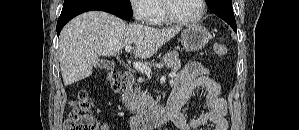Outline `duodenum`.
<instances>
[{
  "mask_svg": "<svg viewBox=\"0 0 299 130\" xmlns=\"http://www.w3.org/2000/svg\"><path fill=\"white\" fill-rule=\"evenodd\" d=\"M124 80L126 88L122 92V101H126L129 97L130 88L134 83L133 73L130 71L125 72ZM188 98L185 94L172 95L167 104L155 113L143 117L131 116L129 119L130 128L132 130H148L168 121H173L180 114V109Z\"/></svg>",
  "mask_w": 299,
  "mask_h": 130,
  "instance_id": "obj_1",
  "label": "duodenum"
}]
</instances>
